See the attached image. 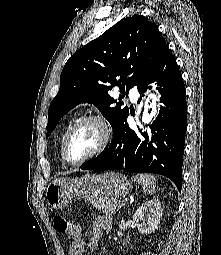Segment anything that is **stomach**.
Segmentation results:
<instances>
[{"label":"stomach","instance_id":"1","mask_svg":"<svg viewBox=\"0 0 221 255\" xmlns=\"http://www.w3.org/2000/svg\"><path fill=\"white\" fill-rule=\"evenodd\" d=\"M132 189L131 182L121 173L86 174L81 178H58L48 184L46 200L53 209H62L74 197L93 202L105 197L117 198Z\"/></svg>","mask_w":221,"mask_h":255}]
</instances>
